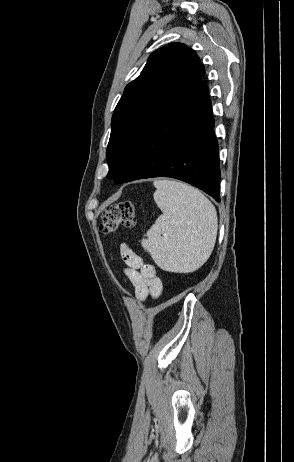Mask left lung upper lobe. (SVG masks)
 Here are the masks:
<instances>
[{"instance_id":"obj_1","label":"left lung upper lobe","mask_w":294,"mask_h":462,"mask_svg":"<svg viewBox=\"0 0 294 462\" xmlns=\"http://www.w3.org/2000/svg\"><path fill=\"white\" fill-rule=\"evenodd\" d=\"M204 67L194 50L170 43L153 52L138 78L125 88L112 116L107 147L109 172L113 179L155 110L174 101L190 82L201 80Z\"/></svg>"}]
</instances>
